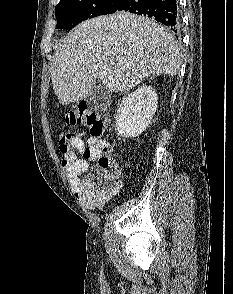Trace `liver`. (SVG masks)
Here are the masks:
<instances>
[{"mask_svg": "<svg viewBox=\"0 0 233 294\" xmlns=\"http://www.w3.org/2000/svg\"><path fill=\"white\" fill-rule=\"evenodd\" d=\"M180 66L166 27L122 11L69 32L55 51L51 80L59 102L68 105L85 99L97 81L111 92H128L151 75H176Z\"/></svg>", "mask_w": 233, "mask_h": 294, "instance_id": "6515ba94", "label": "liver"}]
</instances>
